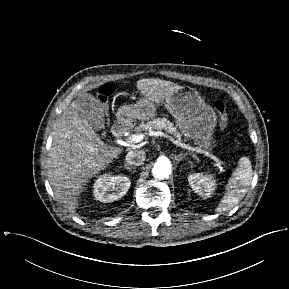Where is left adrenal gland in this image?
<instances>
[{
  "label": "left adrenal gland",
  "instance_id": "1",
  "mask_svg": "<svg viewBox=\"0 0 289 289\" xmlns=\"http://www.w3.org/2000/svg\"><path fill=\"white\" fill-rule=\"evenodd\" d=\"M175 160L177 162L181 161L182 160V155L175 156Z\"/></svg>",
  "mask_w": 289,
  "mask_h": 289
}]
</instances>
